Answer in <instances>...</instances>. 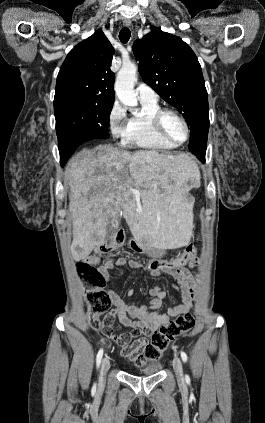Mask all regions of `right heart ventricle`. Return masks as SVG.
Masks as SVG:
<instances>
[{
	"mask_svg": "<svg viewBox=\"0 0 265 423\" xmlns=\"http://www.w3.org/2000/svg\"><path fill=\"white\" fill-rule=\"evenodd\" d=\"M142 112L132 116L124 129L123 142L131 146L151 151H171L178 146L162 139L152 123L153 115L161 109L158 101H140Z\"/></svg>",
	"mask_w": 265,
	"mask_h": 423,
	"instance_id": "right-heart-ventricle-1",
	"label": "right heart ventricle"
}]
</instances>
